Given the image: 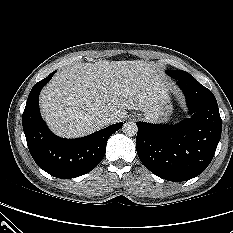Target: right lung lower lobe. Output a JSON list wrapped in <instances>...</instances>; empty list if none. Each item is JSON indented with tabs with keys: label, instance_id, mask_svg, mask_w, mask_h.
<instances>
[{
	"label": "right lung lower lobe",
	"instance_id": "obj_1",
	"mask_svg": "<svg viewBox=\"0 0 233 233\" xmlns=\"http://www.w3.org/2000/svg\"><path fill=\"white\" fill-rule=\"evenodd\" d=\"M54 73L33 86L23 112L22 124L36 164L56 178L70 179L90 172L99 164L105 155L108 138L123 123L110 125L77 139H63L54 135L41 118L38 102L41 89Z\"/></svg>",
	"mask_w": 233,
	"mask_h": 233
}]
</instances>
